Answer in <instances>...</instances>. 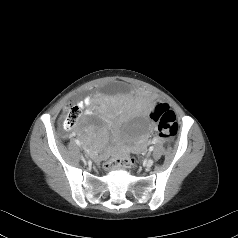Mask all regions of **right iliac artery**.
Returning <instances> with one entry per match:
<instances>
[{
  "mask_svg": "<svg viewBox=\"0 0 238 238\" xmlns=\"http://www.w3.org/2000/svg\"><path fill=\"white\" fill-rule=\"evenodd\" d=\"M77 145H80V141L78 139L75 140Z\"/></svg>",
  "mask_w": 238,
  "mask_h": 238,
  "instance_id": "obj_1",
  "label": "right iliac artery"
}]
</instances>
